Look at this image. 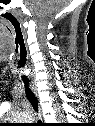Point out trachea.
<instances>
[{
	"instance_id": "trachea-1",
	"label": "trachea",
	"mask_w": 95,
	"mask_h": 126,
	"mask_svg": "<svg viewBox=\"0 0 95 126\" xmlns=\"http://www.w3.org/2000/svg\"><path fill=\"white\" fill-rule=\"evenodd\" d=\"M25 65H26V59L24 56H21V58L19 60V68H22L23 72H24V69L26 70ZM22 79H23L24 86H25L26 97L30 101V103L32 104L35 111H37L38 110L37 97L34 95V93L29 88V82H28L27 77H25V75H23Z\"/></svg>"
}]
</instances>
